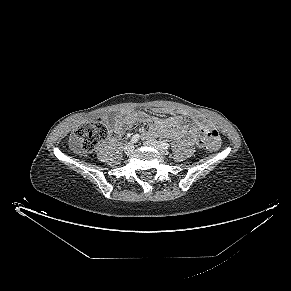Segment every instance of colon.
<instances>
[{"instance_id": "5ec220e1", "label": "colon", "mask_w": 291, "mask_h": 291, "mask_svg": "<svg viewBox=\"0 0 291 291\" xmlns=\"http://www.w3.org/2000/svg\"><path fill=\"white\" fill-rule=\"evenodd\" d=\"M108 133V124L104 118L94 120L85 119L75 127L70 142L74 149L80 152L90 153L95 149L97 144L108 137ZM219 147V135L218 133H214L212 139L207 142L206 148L211 152H215Z\"/></svg>"}]
</instances>
